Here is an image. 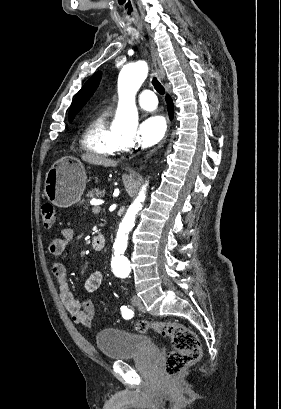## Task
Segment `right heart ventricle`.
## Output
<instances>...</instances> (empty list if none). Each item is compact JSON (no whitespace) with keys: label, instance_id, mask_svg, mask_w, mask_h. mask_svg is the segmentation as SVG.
I'll return each instance as SVG.
<instances>
[{"label":"right heart ventricle","instance_id":"1","mask_svg":"<svg viewBox=\"0 0 281 409\" xmlns=\"http://www.w3.org/2000/svg\"><path fill=\"white\" fill-rule=\"evenodd\" d=\"M108 117V111L98 113L90 120L86 130L88 150L100 158L112 156L121 149Z\"/></svg>","mask_w":281,"mask_h":409}]
</instances>
